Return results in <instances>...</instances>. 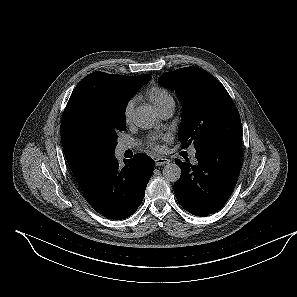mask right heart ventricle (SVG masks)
Returning <instances> with one entry per match:
<instances>
[{
    "instance_id": "1",
    "label": "right heart ventricle",
    "mask_w": 297,
    "mask_h": 297,
    "mask_svg": "<svg viewBox=\"0 0 297 297\" xmlns=\"http://www.w3.org/2000/svg\"><path fill=\"white\" fill-rule=\"evenodd\" d=\"M147 98L160 111L170 101H174L172 95L164 88L159 86H152L146 92Z\"/></svg>"
}]
</instances>
